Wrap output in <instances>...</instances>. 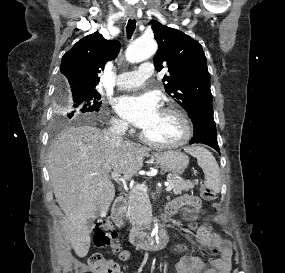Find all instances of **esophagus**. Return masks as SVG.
I'll return each instance as SVG.
<instances>
[{
    "label": "esophagus",
    "mask_w": 285,
    "mask_h": 273,
    "mask_svg": "<svg viewBox=\"0 0 285 273\" xmlns=\"http://www.w3.org/2000/svg\"><path fill=\"white\" fill-rule=\"evenodd\" d=\"M127 14H128V16H129V18H131V19L135 18V16H136V14H135L134 11H128Z\"/></svg>",
    "instance_id": "1"
}]
</instances>
